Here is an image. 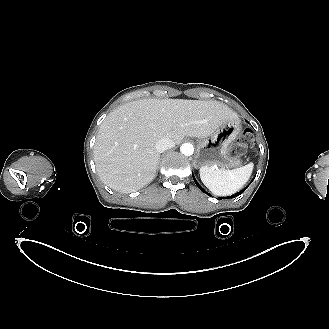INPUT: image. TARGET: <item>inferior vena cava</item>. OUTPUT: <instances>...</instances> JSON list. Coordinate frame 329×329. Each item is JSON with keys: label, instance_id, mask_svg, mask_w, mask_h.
<instances>
[{"label": "inferior vena cava", "instance_id": "obj_1", "mask_svg": "<svg viewBox=\"0 0 329 329\" xmlns=\"http://www.w3.org/2000/svg\"><path fill=\"white\" fill-rule=\"evenodd\" d=\"M174 142L169 138H161L156 142L155 148L158 153H162L165 150H168L174 147Z\"/></svg>", "mask_w": 329, "mask_h": 329}]
</instances>
